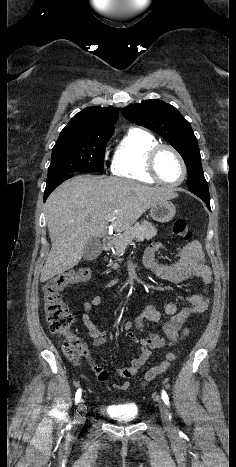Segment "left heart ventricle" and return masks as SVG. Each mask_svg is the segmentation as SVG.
Instances as JSON below:
<instances>
[{
  "instance_id": "obj_1",
  "label": "left heart ventricle",
  "mask_w": 236,
  "mask_h": 467,
  "mask_svg": "<svg viewBox=\"0 0 236 467\" xmlns=\"http://www.w3.org/2000/svg\"><path fill=\"white\" fill-rule=\"evenodd\" d=\"M157 169L161 178L169 183H175L182 177V167L177 157L169 150H163L157 161Z\"/></svg>"
}]
</instances>
